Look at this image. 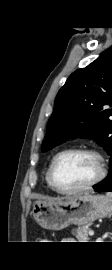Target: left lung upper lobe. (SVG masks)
Masks as SVG:
<instances>
[{
  "label": "left lung upper lobe",
  "instance_id": "obj_1",
  "mask_svg": "<svg viewBox=\"0 0 112 270\" xmlns=\"http://www.w3.org/2000/svg\"><path fill=\"white\" fill-rule=\"evenodd\" d=\"M106 105L112 107V47L72 73L59 90L42 151L82 136L95 139L112 156V109Z\"/></svg>",
  "mask_w": 112,
  "mask_h": 270
}]
</instances>
